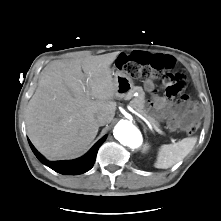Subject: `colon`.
I'll list each match as a JSON object with an SVG mask.
<instances>
[{
    "instance_id": "obj_1",
    "label": "colon",
    "mask_w": 221,
    "mask_h": 221,
    "mask_svg": "<svg viewBox=\"0 0 221 221\" xmlns=\"http://www.w3.org/2000/svg\"><path fill=\"white\" fill-rule=\"evenodd\" d=\"M135 57V59H132L126 54L119 55L117 58L119 70L133 78L160 79L165 86L168 96L181 95L182 100L187 101L189 81L182 73L172 71L175 65V59L172 56L137 52ZM184 112L185 116L190 119V122L185 127V132L188 135H192L198 130V113L196 112L189 116L187 104L184 106ZM181 120L182 118H179L178 122Z\"/></svg>"
}]
</instances>
